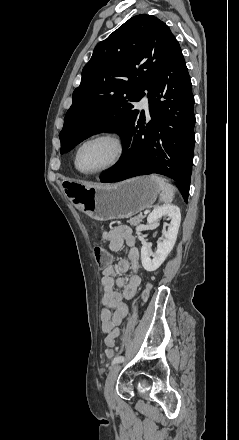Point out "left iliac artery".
Wrapping results in <instances>:
<instances>
[{"label": "left iliac artery", "mask_w": 239, "mask_h": 440, "mask_svg": "<svg viewBox=\"0 0 239 440\" xmlns=\"http://www.w3.org/2000/svg\"><path fill=\"white\" fill-rule=\"evenodd\" d=\"M123 361H124V357H123V356H117V357H115V358L113 359V361H112V365H115V364L121 363V362H123Z\"/></svg>", "instance_id": "1"}]
</instances>
